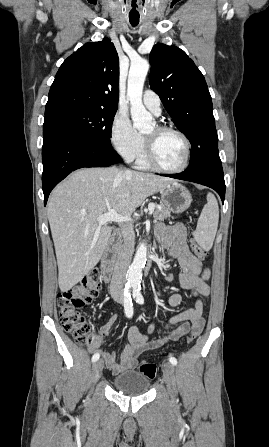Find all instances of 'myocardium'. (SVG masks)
<instances>
[{"instance_id": "myocardium-1", "label": "myocardium", "mask_w": 269, "mask_h": 447, "mask_svg": "<svg viewBox=\"0 0 269 447\" xmlns=\"http://www.w3.org/2000/svg\"><path fill=\"white\" fill-rule=\"evenodd\" d=\"M156 127L158 130H160L162 132L176 133L184 140L185 157H184L183 163L179 167H176V168L165 167L158 161V159L156 157L154 146L151 143V141L148 140L146 137H144L143 140H144V147H145V156H146V161L149 164V166H151L155 169H158L160 171H163V172H168V173H177V172H181V171L185 170L189 164L190 155H191V143H190L188 136L184 132H182L180 129L171 127L168 125H157Z\"/></svg>"}]
</instances>
